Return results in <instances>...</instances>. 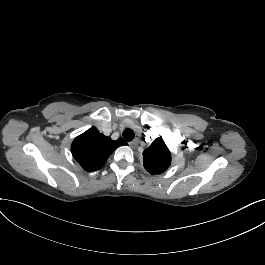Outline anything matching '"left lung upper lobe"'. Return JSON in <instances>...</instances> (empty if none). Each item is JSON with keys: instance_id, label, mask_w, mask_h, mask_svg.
Here are the masks:
<instances>
[{"instance_id": "left-lung-upper-lobe-1", "label": "left lung upper lobe", "mask_w": 265, "mask_h": 265, "mask_svg": "<svg viewBox=\"0 0 265 265\" xmlns=\"http://www.w3.org/2000/svg\"><path fill=\"white\" fill-rule=\"evenodd\" d=\"M143 157L144 167L152 175L163 173L171 164V153L161 138L144 150Z\"/></svg>"}]
</instances>
